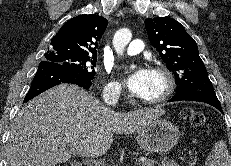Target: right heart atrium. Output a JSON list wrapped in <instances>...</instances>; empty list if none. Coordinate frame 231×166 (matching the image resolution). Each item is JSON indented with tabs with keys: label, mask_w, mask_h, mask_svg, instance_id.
Returning a JSON list of instances; mask_svg holds the SVG:
<instances>
[{
	"label": "right heart atrium",
	"mask_w": 231,
	"mask_h": 166,
	"mask_svg": "<svg viewBox=\"0 0 231 166\" xmlns=\"http://www.w3.org/2000/svg\"><path fill=\"white\" fill-rule=\"evenodd\" d=\"M122 94V87L119 82L107 77L104 85V95L109 99H118Z\"/></svg>",
	"instance_id": "right-heart-atrium-1"
}]
</instances>
